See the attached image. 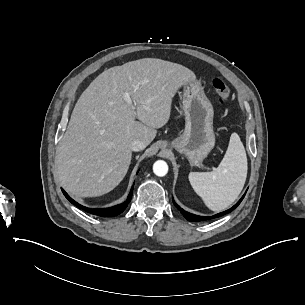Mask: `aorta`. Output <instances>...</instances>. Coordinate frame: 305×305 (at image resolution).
Here are the masks:
<instances>
[{
    "mask_svg": "<svg viewBox=\"0 0 305 305\" xmlns=\"http://www.w3.org/2000/svg\"><path fill=\"white\" fill-rule=\"evenodd\" d=\"M153 172L159 177H163L168 172V165L163 160H158L153 164Z\"/></svg>",
    "mask_w": 305,
    "mask_h": 305,
    "instance_id": "762f6f07",
    "label": "aorta"
}]
</instances>
